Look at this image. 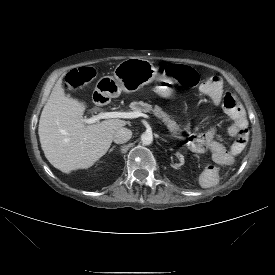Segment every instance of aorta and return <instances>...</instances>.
Listing matches in <instances>:
<instances>
[{
  "label": "aorta",
  "instance_id": "762f6f07",
  "mask_svg": "<svg viewBox=\"0 0 275 275\" xmlns=\"http://www.w3.org/2000/svg\"><path fill=\"white\" fill-rule=\"evenodd\" d=\"M141 142L143 145H150L153 142V136L149 133H143L141 135Z\"/></svg>",
  "mask_w": 275,
  "mask_h": 275
}]
</instances>
